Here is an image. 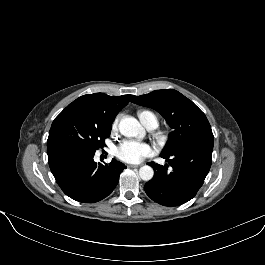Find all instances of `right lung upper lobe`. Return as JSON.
<instances>
[{
	"mask_svg": "<svg viewBox=\"0 0 265 265\" xmlns=\"http://www.w3.org/2000/svg\"><path fill=\"white\" fill-rule=\"evenodd\" d=\"M133 95L111 97L103 93L87 94L69 104L57 117L73 114L111 124Z\"/></svg>",
	"mask_w": 265,
	"mask_h": 265,
	"instance_id": "obj_1",
	"label": "right lung upper lobe"
}]
</instances>
